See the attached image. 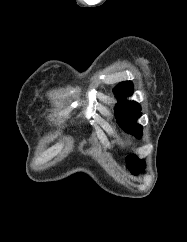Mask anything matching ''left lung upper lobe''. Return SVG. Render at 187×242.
I'll use <instances>...</instances> for the list:
<instances>
[{
	"label": "left lung upper lobe",
	"instance_id": "1",
	"mask_svg": "<svg viewBox=\"0 0 187 242\" xmlns=\"http://www.w3.org/2000/svg\"><path fill=\"white\" fill-rule=\"evenodd\" d=\"M114 94L118 101L115 105V117L117 118L118 124L124 131L140 139L143 129L136 121L141 117V107L135 101L126 100L127 97L133 94V83L131 81L119 83L114 88ZM126 162L129 170L135 175L143 172L145 169L144 160H139L135 155L127 156Z\"/></svg>",
	"mask_w": 187,
	"mask_h": 242
}]
</instances>
